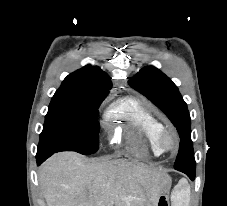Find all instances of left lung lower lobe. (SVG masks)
I'll list each match as a JSON object with an SVG mask.
<instances>
[{"mask_svg": "<svg viewBox=\"0 0 227 206\" xmlns=\"http://www.w3.org/2000/svg\"><path fill=\"white\" fill-rule=\"evenodd\" d=\"M176 170L185 173L191 180L195 179V168H181Z\"/></svg>", "mask_w": 227, "mask_h": 206, "instance_id": "left-lung-lower-lobe-1", "label": "left lung lower lobe"}]
</instances>
